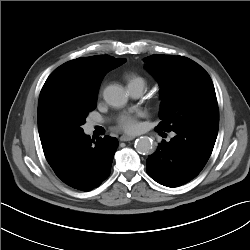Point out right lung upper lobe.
Instances as JSON below:
<instances>
[{"label":"right lung upper lobe","instance_id":"cb5924a9","mask_svg":"<svg viewBox=\"0 0 250 250\" xmlns=\"http://www.w3.org/2000/svg\"><path fill=\"white\" fill-rule=\"evenodd\" d=\"M126 59L96 55L74 59L55 69L39 97L38 131L41 143L54 140L61 119L82 103L96 101L105 74Z\"/></svg>","mask_w":250,"mask_h":250}]
</instances>
